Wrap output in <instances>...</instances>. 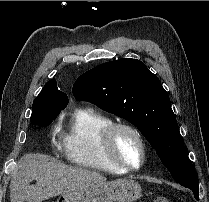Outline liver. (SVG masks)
I'll return each instance as SVG.
<instances>
[{
	"mask_svg": "<svg viewBox=\"0 0 209 202\" xmlns=\"http://www.w3.org/2000/svg\"><path fill=\"white\" fill-rule=\"evenodd\" d=\"M36 180V185L30 183ZM106 181L98 172L69 167L39 154H26L19 161L9 189L11 202H42L94 183Z\"/></svg>",
	"mask_w": 209,
	"mask_h": 202,
	"instance_id": "obj_1",
	"label": "liver"
}]
</instances>
